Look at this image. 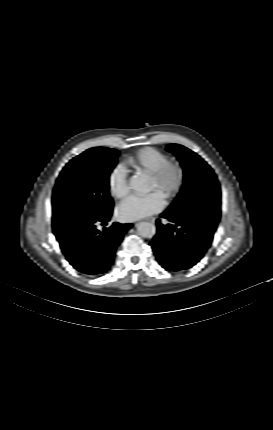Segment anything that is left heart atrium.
I'll return each mask as SVG.
<instances>
[{"label": "left heart atrium", "instance_id": "left-heart-atrium-1", "mask_svg": "<svg viewBox=\"0 0 273 430\" xmlns=\"http://www.w3.org/2000/svg\"><path fill=\"white\" fill-rule=\"evenodd\" d=\"M165 206V196L155 190L147 195H133L117 208V215L123 221H134L160 212Z\"/></svg>", "mask_w": 273, "mask_h": 430}]
</instances>
